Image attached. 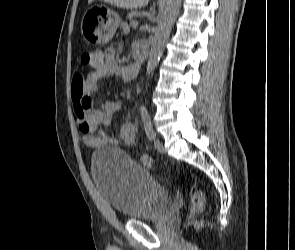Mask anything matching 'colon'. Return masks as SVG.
I'll use <instances>...</instances> for the list:
<instances>
[{
	"mask_svg": "<svg viewBox=\"0 0 295 250\" xmlns=\"http://www.w3.org/2000/svg\"><path fill=\"white\" fill-rule=\"evenodd\" d=\"M92 59V52H85L82 54L81 61L84 64H89ZM148 165L152 168H155L156 165L154 162L149 161ZM205 205V198L203 193L195 189L191 195V206H190V217H194L198 213H200Z\"/></svg>",
	"mask_w": 295,
	"mask_h": 250,
	"instance_id": "obj_1",
	"label": "colon"
}]
</instances>
